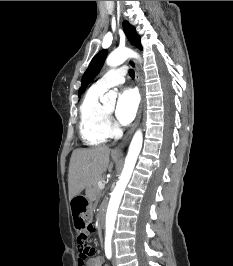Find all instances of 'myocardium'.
Masks as SVG:
<instances>
[{
  "instance_id": "myocardium-1",
  "label": "myocardium",
  "mask_w": 233,
  "mask_h": 266,
  "mask_svg": "<svg viewBox=\"0 0 233 266\" xmlns=\"http://www.w3.org/2000/svg\"><path fill=\"white\" fill-rule=\"evenodd\" d=\"M105 113H106L107 115H110V112H109V111H107L106 109H105Z\"/></svg>"
}]
</instances>
